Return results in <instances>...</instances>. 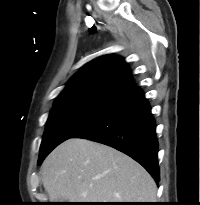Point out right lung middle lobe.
Instances as JSON below:
<instances>
[{
	"mask_svg": "<svg viewBox=\"0 0 200 205\" xmlns=\"http://www.w3.org/2000/svg\"><path fill=\"white\" fill-rule=\"evenodd\" d=\"M114 102L108 99L80 98L55 103L47 120L38 165L53 148L101 116Z\"/></svg>",
	"mask_w": 200,
	"mask_h": 205,
	"instance_id": "dd1d6c3e",
	"label": "right lung middle lobe"
}]
</instances>
